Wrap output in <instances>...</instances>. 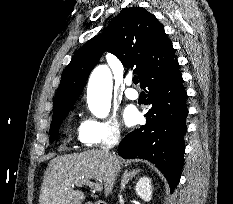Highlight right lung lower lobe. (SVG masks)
I'll list each match as a JSON object with an SVG mask.
<instances>
[{"label":"right lung lower lobe","mask_w":233,"mask_h":204,"mask_svg":"<svg viewBox=\"0 0 233 204\" xmlns=\"http://www.w3.org/2000/svg\"><path fill=\"white\" fill-rule=\"evenodd\" d=\"M152 105L146 124L127 134L118 147L125 159L143 158L156 165L170 189L180 180L184 165V135L187 131V94L176 63L154 75L144 86Z\"/></svg>","instance_id":"98d812e1"}]
</instances>
